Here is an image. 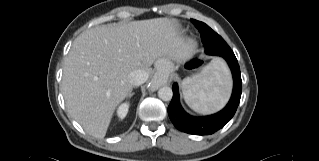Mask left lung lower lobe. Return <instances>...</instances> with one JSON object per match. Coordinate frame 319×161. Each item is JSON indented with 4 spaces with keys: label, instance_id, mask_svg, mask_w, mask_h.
I'll return each instance as SVG.
<instances>
[{
    "label": "left lung lower lobe",
    "instance_id": "1",
    "mask_svg": "<svg viewBox=\"0 0 319 161\" xmlns=\"http://www.w3.org/2000/svg\"><path fill=\"white\" fill-rule=\"evenodd\" d=\"M212 31L213 30L209 28L207 30L208 33L205 32V34L209 35ZM221 57L227 61L233 76L234 86L230 101L224 109L216 114L204 117H193L187 114L182 108L179 102L178 85L174 83L172 87L173 98L168 106V115L178 130L194 135H209L223 128L234 116L242 92L240 68L232 51L223 53Z\"/></svg>",
    "mask_w": 319,
    "mask_h": 161
}]
</instances>
